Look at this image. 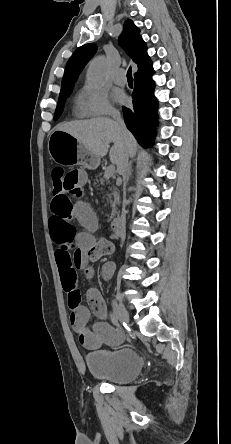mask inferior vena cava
Segmentation results:
<instances>
[{"label": "inferior vena cava", "instance_id": "inferior-vena-cava-1", "mask_svg": "<svg viewBox=\"0 0 231 444\" xmlns=\"http://www.w3.org/2000/svg\"><path fill=\"white\" fill-rule=\"evenodd\" d=\"M112 117H113V119L115 121V124L117 125L119 131L121 132V134L125 135L126 127H125L123 119L120 116V113H117V112L113 113ZM129 146L130 145L128 143L124 146V159H123L121 165L117 169L119 174L122 175V177H123L124 187L126 186L127 174H128V166H129V164H128ZM123 193L127 194L128 190L124 189ZM127 205H128L127 198H121V206L122 207L119 210V213L122 214V215H120L118 217L121 220V222L119 223L120 226L118 228L123 231L122 232L123 236L127 235V232L125 231L126 230V223H128V218H126V216L128 215L126 213V210L128 209L126 207Z\"/></svg>", "mask_w": 231, "mask_h": 444}]
</instances>
